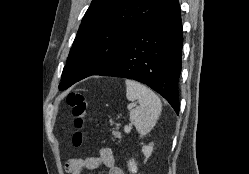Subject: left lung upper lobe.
I'll use <instances>...</instances> for the list:
<instances>
[{
  "instance_id": "left-lung-upper-lobe-1",
  "label": "left lung upper lobe",
  "mask_w": 249,
  "mask_h": 174,
  "mask_svg": "<svg viewBox=\"0 0 249 174\" xmlns=\"http://www.w3.org/2000/svg\"><path fill=\"white\" fill-rule=\"evenodd\" d=\"M165 0H92L69 52L60 90L94 75L129 43Z\"/></svg>"
}]
</instances>
